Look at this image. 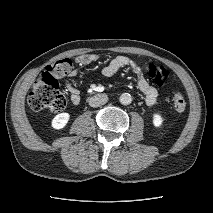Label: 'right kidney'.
<instances>
[{
    "mask_svg": "<svg viewBox=\"0 0 213 213\" xmlns=\"http://www.w3.org/2000/svg\"><path fill=\"white\" fill-rule=\"evenodd\" d=\"M70 119L69 113H60L56 115L52 120V127L54 129H62L66 126Z\"/></svg>",
    "mask_w": 213,
    "mask_h": 213,
    "instance_id": "1",
    "label": "right kidney"
}]
</instances>
